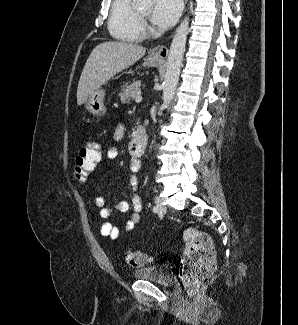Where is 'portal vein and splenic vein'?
I'll list each match as a JSON object with an SVG mask.
<instances>
[{
    "label": "portal vein and splenic vein",
    "mask_w": 298,
    "mask_h": 325,
    "mask_svg": "<svg viewBox=\"0 0 298 325\" xmlns=\"http://www.w3.org/2000/svg\"><path fill=\"white\" fill-rule=\"evenodd\" d=\"M141 100H143V96H141V92H137L135 102H141Z\"/></svg>",
    "instance_id": "obj_1"
}]
</instances>
